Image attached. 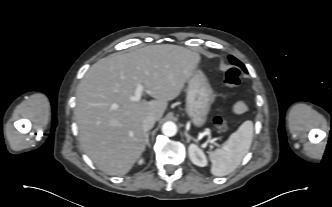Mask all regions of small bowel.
<instances>
[{
    "label": "small bowel",
    "instance_id": "c3829d8e",
    "mask_svg": "<svg viewBox=\"0 0 332 207\" xmlns=\"http://www.w3.org/2000/svg\"><path fill=\"white\" fill-rule=\"evenodd\" d=\"M233 110L237 113H242L246 110V106L244 105V103L242 102H237L234 106H233Z\"/></svg>",
    "mask_w": 332,
    "mask_h": 207
}]
</instances>
